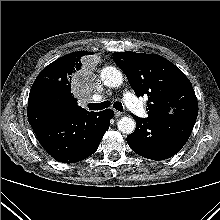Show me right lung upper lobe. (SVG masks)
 Returning a JSON list of instances; mask_svg holds the SVG:
<instances>
[{"label":"right lung upper lobe","mask_w":220,"mask_h":220,"mask_svg":"<svg viewBox=\"0 0 220 220\" xmlns=\"http://www.w3.org/2000/svg\"><path fill=\"white\" fill-rule=\"evenodd\" d=\"M88 51H77L65 55L45 67L35 79L28 98V108L44 106L45 100H52L57 108L72 112H86L78 106L71 93V79L82 68L83 57L93 55Z\"/></svg>","instance_id":"right-lung-upper-lobe-1"}]
</instances>
